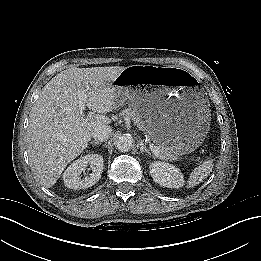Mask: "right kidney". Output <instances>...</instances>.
Returning <instances> with one entry per match:
<instances>
[{
  "mask_svg": "<svg viewBox=\"0 0 261 261\" xmlns=\"http://www.w3.org/2000/svg\"><path fill=\"white\" fill-rule=\"evenodd\" d=\"M103 163V157L93 153L75 160L63 173L65 186L70 189H86L93 186L101 178ZM88 166L92 172L82 178L81 173L85 172Z\"/></svg>",
  "mask_w": 261,
  "mask_h": 261,
  "instance_id": "1",
  "label": "right kidney"
}]
</instances>
